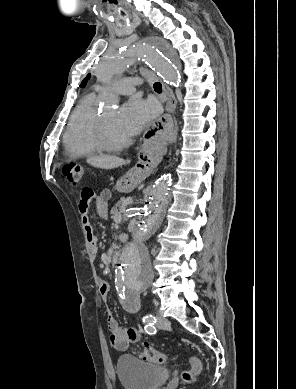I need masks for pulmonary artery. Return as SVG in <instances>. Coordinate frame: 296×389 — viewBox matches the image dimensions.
Instances as JSON below:
<instances>
[{"mask_svg": "<svg viewBox=\"0 0 296 389\" xmlns=\"http://www.w3.org/2000/svg\"><path fill=\"white\" fill-rule=\"evenodd\" d=\"M139 83V80L137 78H122L115 80L108 85H95L94 86V91L95 92H113L117 94H131L135 92L136 90V85Z\"/></svg>", "mask_w": 296, "mask_h": 389, "instance_id": "pulmonary-artery-1", "label": "pulmonary artery"}]
</instances>
